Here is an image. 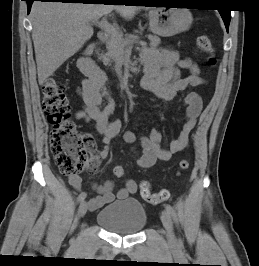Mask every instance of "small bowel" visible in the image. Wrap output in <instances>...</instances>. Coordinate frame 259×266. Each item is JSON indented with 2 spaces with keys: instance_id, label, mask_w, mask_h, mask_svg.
I'll return each mask as SVG.
<instances>
[{
  "instance_id": "c3829d8e",
  "label": "small bowel",
  "mask_w": 259,
  "mask_h": 266,
  "mask_svg": "<svg viewBox=\"0 0 259 266\" xmlns=\"http://www.w3.org/2000/svg\"><path fill=\"white\" fill-rule=\"evenodd\" d=\"M145 74L141 80L143 88L152 92L157 98L165 103L171 101L178 92L184 91L188 87H197L206 84V80L201 76L200 68L190 58L179 59L176 52L160 49L145 51L141 55ZM179 68L189 70L190 75L182 78ZM99 71V78H87L82 85L80 94L83 99L82 107L76 112L78 120L93 123L96 131L102 135L103 148L90 147L89 171L95 173L100 162L106 158L110 151V144L121 131L119 120L109 121V116L114 109V102L105 89V78ZM185 109V122L176 140L169 148H163L162 133L156 127H152L148 135L137 137L132 130L123 134V139L129 144L138 142L140 148H133V153L137 156V165L141 168L152 167L157 160L167 161L174 154L185 150L189 145L190 133L195 127L197 120L203 109L201 96L196 92H189L183 98ZM69 183L80 190L82 180L79 175H70ZM97 196L88 200L87 206L90 210H96L117 199H125L129 195L136 193L137 184L133 180H127L125 186L116 193L113 191V183L105 182L103 185L94 186Z\"/></svg>"
}]
</instances>
